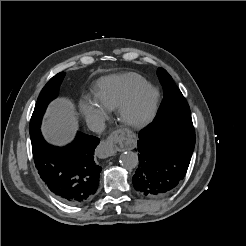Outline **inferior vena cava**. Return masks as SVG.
<instances>
[{
	"mask_svg": "<svg viewBox=\"0 0 246 246\" xmlns=\"http://www.w3.org/2000/svg\"><path fill=\"white\" fill-rule=\"evenodd\" d=\"M88 128L96 133H101L105 129V122L100 117H89L87 119Z\"/></svg>",
	"mask_w": 246,
	"mask_h": 246,
	"instance_id": "inferior-vena-cava-1",
	"label": "inferior vena cava"
}]
</instances>
